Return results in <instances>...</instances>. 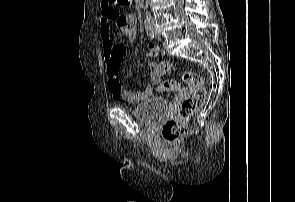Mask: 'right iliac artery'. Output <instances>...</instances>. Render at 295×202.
I'll use <instances>...</instances> for the list:
<instances>
[{
    "mask_svg": "<svg viewBox=\"0 0 295 202\" xmlns=\"http://www.w3.org/2000/svg\"><path fill=\"white\" fill-rule=\"evenodd\" d=\"M145 29H146V33H147L148 37L150 39H154L155 35H154V32H153L150 22L145 23Z\"/></svg>",
    "mask_w": 295,
    "mask_h": 202,
    "instance_id": "obj_1",
    "label": "right iliac artery"
}]
</instances>
